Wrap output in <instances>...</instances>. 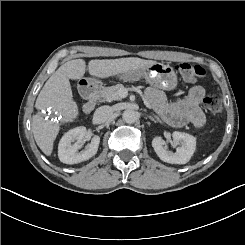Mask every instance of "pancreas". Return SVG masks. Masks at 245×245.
<instances>
[{
	"label": "pancreas",
	"mask_w": 245,
	"mask_h": 245,
	"mask_svg": "<svg viewBox=\"0 0 245 245\" xmlns=\"http://www.w3.org/2000/svg\"><path fill=\"white\" fill-rule=\"evenodd\" d=\"M121 90H127L122 84H117L115 86L104 87L98 95V99H103L105 101L111 102L113 100H121L120 96Z\"/></svg>",
	"instance_id": "1"
}]
</instances>
